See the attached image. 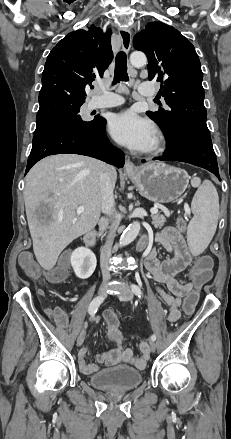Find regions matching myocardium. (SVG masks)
<instances>
[{"label":"myocardium","instance_id":"f54148a6","mask_svg":"<svg viewBox=\"0 0 231 439\" xmlns=\"http://www.w3.org/2000/svg\"><path fill=\"white\" fill-rule=\"evenodd\" d=\"M164 147H165V137L160 131H157L155 134L154 143L149 149L146 150V152L149 154H157L161 152L164 149Z\"/></svg>","mask_w":231,"mask_h":439}]
</instances>
